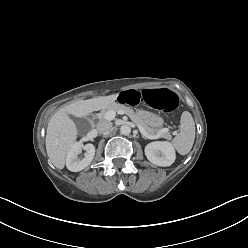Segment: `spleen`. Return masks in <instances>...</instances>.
<instances>
[{"mask_svg":"<svg viewBox=\"0 0 248 248\" xmlns=\"http://www.w3.org/2000/svg\"><path fill=\"white\" fill-rule=\"evenodd\" d=\"M179 130L180 133L172 140V145L180 155H186L192 149L195 140V123L190 112L182 113Z\"/></svg>","mask_w":248,"mask_h":248,"instance_id":"1","label":"spleen"}]
</instances>
